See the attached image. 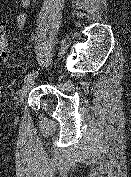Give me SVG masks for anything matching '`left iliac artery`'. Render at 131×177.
I'll use <instances>...</instances> for the list:
<instances>
[{"mask_svg":"<svg viewBox=\"0 0 131 177\" xmlns=\"http://www.w3.org/2000/svg\"><path fill=\"white\" fill-rule=\"evenodd\" d=\"M38 74H39V71H33V72L28 73L24 78V82L32 79L33 77H35Z\"/></svg>","mask_w":131,"mask_h":177,"instance_id":"left-iliac-artery-1","label":"left iliac artery"}]
</instances>
